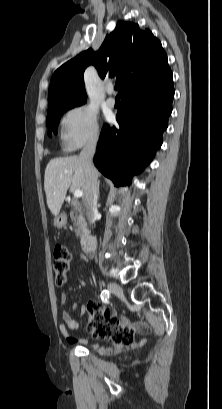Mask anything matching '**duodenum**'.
I'll use <instances>...</instances> for the list:
<instances>
[{
    "label": "duodenum",
    "mask_w": 222,
    "mask_h": 409,
    "mask_svg": "<svg viewBox=\"0 0 222 409\" xmlns=\"http://www.w3.org/2000/svg\"><path fill=\"white\" fill-rule=\"evenodd\" d=\"M81 245L84 251L91 255L93 254L95 248H96V240L93 236L91 235H82L81 237Z\"/></svg>",
    "instance_id": "obj_1"
}]
</instances>
